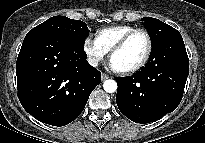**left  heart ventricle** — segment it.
I'll list each match as a JSON object with an SVG mask.
<instances>
[{
  "label": "left heart ventricle",
  "instance_id": "left-heart-ventricle-1",
  "mask_svg": "<svg viewBox=\"0 0 205 143\" xmlns=\"http://www.w3.org/2000/svg\"><path fill=\"white\" fill-rule=\"evenodd\" d=\"M147 50V39L143 33H136L125 47L117 52L112 60L122 69H128L138 64Z\"/></svg>",
  "mask_w": 205,
  "mask_h": 143
}]
</instances>
